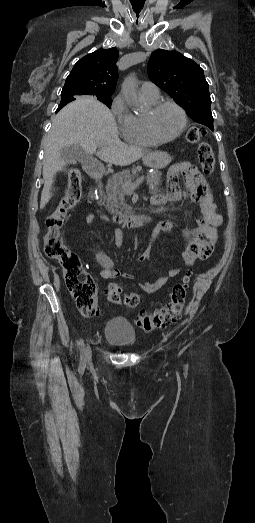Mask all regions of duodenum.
I'll list each match as a JSON object with an SVG mask.
<instances>
[{"label":"duodenum","instance_id":"duodenum-1","mask_svg":"<svg viewBox=\"0 0 255 523\" xmlns=\"http://www.w3.org/2000/svg\"><path fill=\"white\" fill-rule=\"evenodd\" d=\"M84 168L89 176H91L96 182H99L105 173V166L103 163L96 159H89L84 163ZM97 191V190H96ZM90 199L94 202L97 201L95 190H91ZM101 217H104L99 213ZM115 222L121 223L129 228L141 227L150 222V218L146 215H129L114 217Z\"/></svg>","mask_w":255,"mask_h":523}]
</instances>
